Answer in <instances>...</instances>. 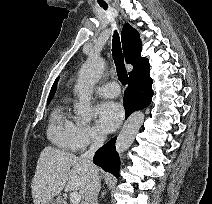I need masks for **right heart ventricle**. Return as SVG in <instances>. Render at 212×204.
<instances>
[{"instance_id": "obj_1", "label": "right heart ventricle", "mask_w": 212, "mask_h": 204, "mask_svg": "<svg viewBox=\"0 0 212 204\" xmlns=\"http://www.w3.org/2000/svg\"><path fill=\"white\" fill-rule=\"evenodd\" d=\"M79 124L73 118L66 102L59 103L50 114L47 135L52 143L63 150H75L74 140Z\"/></svg>"}]
</instances>
